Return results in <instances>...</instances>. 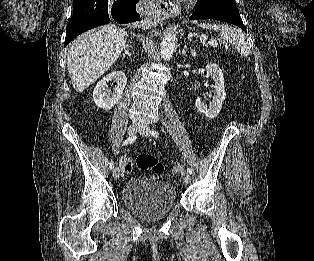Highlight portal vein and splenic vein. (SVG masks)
Returning <instances> with one entry per match:
<instances>
[{
	"label": "portal vein and splenic vein",
	"instance_id": "18ae733b",
	"mask_svg": "<svg viewBox=\"0 0 314 261\" xmlns=\"http://www.w3.org/2000/svg\"><path fill=\"white\" fill-rule=\"evenodd\" d=\"M211 45L212 47H217V42L213 41ZM225 47H227V44H225Z\"/></svg>",
	"mask_w": 314,
	"mask_h": 261
}]
</instances>
